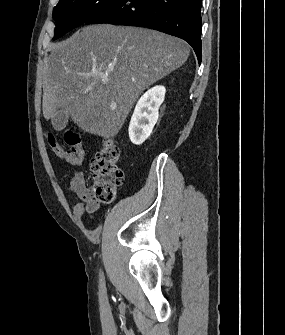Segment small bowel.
I'll return each mask as SVG.
<instances>
[{
  "label": "small bowel",
  "instance_id": "obj_1",
  "mask_svg": "<svg viewBox=\"0 0 285 335\" xmlns=\"http://www.w3.org/2000/svg\"><path fill=\"white\" fill-rule=\"evenodd\" d=\"M70 189L80 199L73 208L74 217L78 222L85 214H92L100 209V202L93 198L91 189L88 187L82 172H76L72 177Z\"/></svg>",
  "mask_w": 285,
  "mask_h": 335
}]
</instances>
